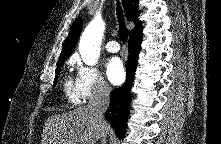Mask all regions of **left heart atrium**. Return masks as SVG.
<instances>
[{
    "instance_id": "obj_1",
    "label": "left heart atrium",
    "mask_w": 221,
    "mask_h": 144,
    "mask_svg": "<svg viewBox=\"0 0 221 144\" xmlns=\"http://www.w3.org/2000/svg\"><path fill=\"white\" fill-rule=\"evenodd\" d=\"M106 74L111 83L120 84L125 77L123 62L118 57H113L106 63Z\"/></svg>"
}]
</instances>
